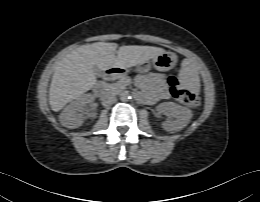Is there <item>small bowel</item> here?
Returning a JSON list of instances; mask_svg holds the SVG:
<instances>
[{
	"instance_id": "1",
	"label": "small bowel",
	"mask_w": 260,
	"mask_h": 202,
	"mask_svg": "<svg viewBox=\"0 0 260 202\" xmlns=\"http://www.w3.org/2000/svg\"><path fill=\"white\" fill-rule=\"evenodd\" d=\"M137 85L144 91L142 98L153 104L168 97V89L164 76L158 73L140 75L136 78Z\"/></svg>"
}]
</instances>
